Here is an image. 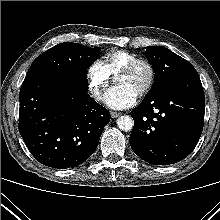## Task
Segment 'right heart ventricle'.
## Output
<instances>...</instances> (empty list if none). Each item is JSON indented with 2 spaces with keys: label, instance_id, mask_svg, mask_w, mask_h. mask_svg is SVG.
I'll return each instance as SVG.
<instances>
[{
  "label": "right heart ventricle",
  "instance_id": "obj_1",
  "mask_svg": "<svg viewBox=\"0 0 220 220\" xmlns=\"http://www.w3.org/2000/svg\"><path fill=\"white\" fill-rule=\"evenodd\" d=\"M137 55L126 50H113L105 55L106 63L110 74L118 73L126 64L136 59Z\"/></svg>",
  "mask_w": 220,
  "mask_h": 220
}]
</instances>
